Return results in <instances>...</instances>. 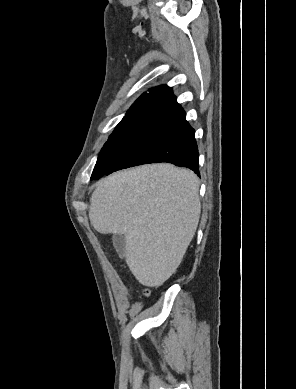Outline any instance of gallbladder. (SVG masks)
<instances>
[{
  "label": "gallbladder",
  "instance_id": "bac80fb5",
  "mask_svg": "<svg viewBox=\"0 0 296 389\" xmlns=\"http://www.w3.org/2000/svg\"><path fill=\"white\" fill-rule=\"evenodd\" d=\"M113 246L120 257H123L126 252V240L123 234H115L112 237Z\"/></svg>",
  "mask_w": 296,
  "mask_h": 389
}]
</instances>
